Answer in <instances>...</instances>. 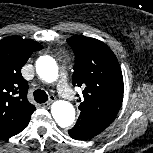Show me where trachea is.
Instances as JSON below:
<instances>
[{"label": "trachea", "mask_w": 153, "mask_h": 153, "mask_svg": "<svg viewBox=\"0 0 153 153\" xmlns=\"http://www.w3.org/2000/svg\"><path fill=\"white\" fill-rule=\"evenodd\" d=\"M34 100L38 103H45L48 100V95L44 90L37 89L34 92Z\"/></svg>", "instance_id": "obj_1"}]
</instances>
